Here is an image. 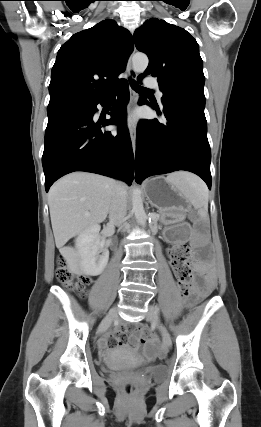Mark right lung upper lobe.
I'll return each mask as SVG.
<instances>
[{
	"instance_id": "obj_1",
	"label": "right lung upper lobe",
	"mask_w": 261,
	"mask_h": 427,
	"mask_svg": "<svg viewBox=\"0 0 261 427\" xmlns=\"http://www.w3.org/2000/svg\"><path fill=\"white\" fill-rule=\"evenodd\" d=\"M133 48L129 31L111 19L74 34L58 51L47 110L105 100L109 90L124 81L117 77L125 70Z\"/></svg>"
}]
</instances>
